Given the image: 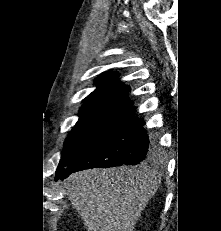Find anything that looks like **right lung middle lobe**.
I'll return each instance as SVG.
<instances>
[{"label": "right lung middle lobe", "mask_w": 221, "mask_h": 231, "mask_svg": "<svg viewBox=\"0 0 221 231\" xmlns=\"http://www.w3.org/2000/svg\"><path fill=\"white\" fill-rule=\"evenodd\" d=\"M129 100L98 98L84 101L81 115L65 141L58 168L68 165L89 146L103 128L120 112L131 106Z\"/></svg>", "instance_id": "dd1d6c3e"}]
</instances>
